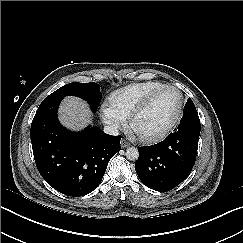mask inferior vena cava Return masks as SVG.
Masks as SVG:
<instances>
[{
  "label": "inferior vena cava",
  "instance_id": "obj_1",
  "mask_svg": "<svg viewBox=\"0 0 243 243\" xmlns=\"http://www.w3.org/2000/svg\"><path fill=\"white\" fill-rule=\"evenodd\" d=\"M103 131L105 134L108 135H112V136L119 135L118 127L115 124L105 126Z\"/></svg>",
  "mask_w": 243,
  "mask_h": 243
}]
</instances>
